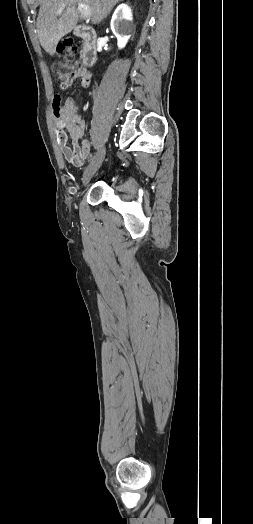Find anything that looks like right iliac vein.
I'll return each instance as SVG.
<instances>
[{
  "instance_id": "63e3f726",
  "label": "right iliac vein",
  "mask_w": 253,
  "mask_h": 524,
  "mask_svg": "<svg viewBox=\"0 0 253 524\" xmlns=\"http://www.w3.org/2000/svg\"><path fill=\"white\" fill-rule=\"evenodd\" d=\"M105 157V148H101L87 167L83 175V184L86 186L97 170L100 168Z\"/></svg>"
}]
</instances>
